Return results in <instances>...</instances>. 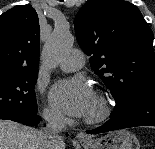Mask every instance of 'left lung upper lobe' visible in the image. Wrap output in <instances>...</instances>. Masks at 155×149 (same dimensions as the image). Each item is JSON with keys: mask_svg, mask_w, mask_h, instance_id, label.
I'll return each instance as SVG.
<instances>
[{"mask_svg": "<svg viewBox=\"0 0 155 149\" xmlns=\"http://www.w3.org/2000/svg\"><path fill=\"white\" fill-rule=\"evenodd\" d=\"M80 47L116 101L155 86L153 33L139 9L122 0H88L74 20Z\"/></svg>", "mask_w": 155, "mask_h": 149, "instance_id": "5c2ea615", "label": "left lung upper lobe"}]
</instances>
